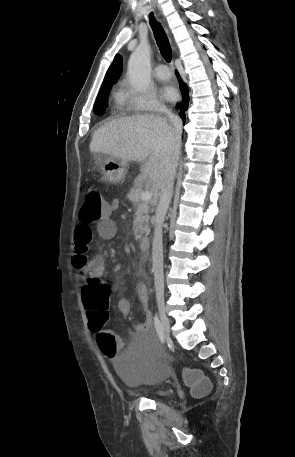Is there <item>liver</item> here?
Masks as SVG:
<instances>
[{
	"mask_svg": "<svg viewBox=\"0 0 295 457\" xmlns=\"http://www.w3.org/2000/svg\"><path fill=\"white\" fill-rule=\"evenodd\" d=\"M179 147L172 124L164 117L148 114L106 123L90 143L93 153L142 163V177L153 190L160 189L167 164Z\"/></svg>",
	"mask_w": 295,
	"mask_h": 457,
	"instance_id": "1",
	"label": "liver"
}]
</instances>
